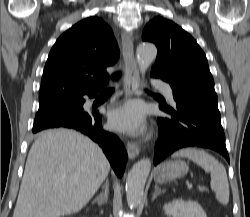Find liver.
<instances>
[{"instance_id": "6515ba94", "label": "liver", "mask_w": 250, "mask_h": 217, "mask_svg": "<svg viewBox=\"0 0 250 217\" xmlns=\"http://www.w3.org/2000/svg\"><path fill=\"white\" fill-rule=\"evenodd\" d=\"M110 164L89 138L68 129L43 131L31 146L13 217H60L80 211Z\"/></svg>"}]
</instances>
